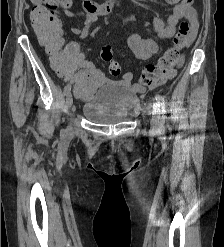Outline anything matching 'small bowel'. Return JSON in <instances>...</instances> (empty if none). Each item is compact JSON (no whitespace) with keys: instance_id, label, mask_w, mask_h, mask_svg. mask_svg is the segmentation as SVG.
<instances>
[{"instance_id":"1","label":"small bowel","mask_w":224,"mask_h":247,"mask_svg":"<svg viewBox=\"0 0 224 247\" xmlns=\"http://www.w3.org/2000/svg\"><path fill=\"white\" fill-rule=\"evenodd\" d=\"M37 6L42 5L43 0H33ZM169 4L173 5V11L168 17L167 22L162 20L160 17L155 16L152 20L154 30L157 32L158 36L162 40L169 39L173 37L176 31V26L180 19L186 18L190 22V33L187 45H190L195 39L197 33V19L196 11L192 7L193 0H166ZM62 13L68 17L80 18L83 20L82 25L79 27L71 28V32L80 38H85L89 29L98 19L97 14L91 13L85 10L73 12L67 8L62 10ZM129 48L132 50L134 55L140 60H148L155 56L158 52L157 42L149 37H145L138 32L131 34L127 40ZM182 63V59L179 64ZM176 76V69L169 71L167 74L162 76L159 81L153 83L150 88H156L159 85L165 84L167 81L173 79ZM133 74L131 72H126L123 74L118 84L128 88L135 94H142L145 92V87L140 84L132 83Z\"/></svg>"}]
</instances>
